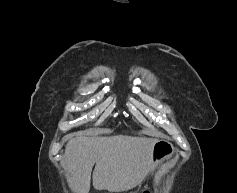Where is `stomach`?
Here are the masks:
<instances>
[{
	"label": "stomach",
	"mask_w": 237,
	"mask_h": 193,
	"mask_svg": "<svg viewBox=\"0 0 237 193\" xmlns=\"http://www.w3.org/2000/svg\"><path fill=\"white\" fill-rule=\"evenodd\" d=\"M174 153L175 148L170 142L167 140L157 141L152 150L150 171H152L158 164L171 158Z\"/></svg>",
	"instance_id": "1"
}]
</instances>
